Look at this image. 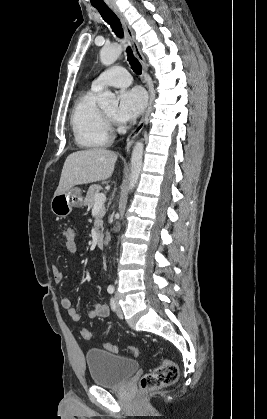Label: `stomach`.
Listing matches in <instances>:
<instances>
[{
  "label": "stomach",
  "instance_id": "1",
  "mask_svg": "<svg viewBox=\"0 0 267 419\" xmlns=\"http://www.w3.org/2000/svg\"><path fill=\"white\" fill-rule=\"evenodd\" d=\"M84 199L80 188H71L68 191L55 194L51 200L50 207L53 214L60 218L68 216L73 207H81Z\"/></svg>",
  "mask_w": 267,
  "mask_h": 419
}]
</instances>
